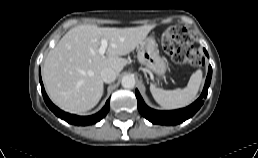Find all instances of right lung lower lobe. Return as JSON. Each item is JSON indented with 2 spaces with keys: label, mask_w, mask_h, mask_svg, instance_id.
Returning a JSON list of instances; mask_svg holds the SVG:
<instances>
[{
  "label": "right lung lower lobe",
  "mask_w": 258,
  "mask_h": 158,
  "mask_svg": "<svg viewBox=\"0 0 258 158\" xmlns=\"http://www.w3.org/2000/svg\"><path fill=\"white\" fill-rule=\"evenodd\" d=\"M39 80L41 84V91L44 98L45 103L47 104L48 108L54 112L56 116L59 118L65 120L66 122L74 125H81L86 126L90 124H95L96 122L100 121L109 111L110 108V100L108 99L105 106L102 108L101 111H99L97 114L91 115V116H77L73 114L66 113L62 110H60L58 107H56L51 100L48 98L43 83L41 79V75H39Z\"/></svg>",
  "instance_id": "obj_1"
}]
</instances>
